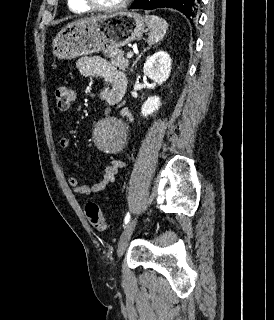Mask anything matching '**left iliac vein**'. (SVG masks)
Masks as SVG:
<instances>
[{
  "instance_id": "left-iliac-vein-1",
  "label": "left iliac vein",
  "mask_w": 274,
  "mask_h": 320,
  "mask_svg": "<svg viewBox=\"0 0 274 320\" xmlns=\"http://www.w3.org/2000/svg\"><path fill=\"white\" fill-rule=\"evenodd\" d=\"M136 223H137V217H134L131 221H129L124 231L122 232L119 239V243H118V249H117V254L119 257H121L125 252L128 242L130 240V237L136 226Z\"/></svg>"
}]
</instances>
